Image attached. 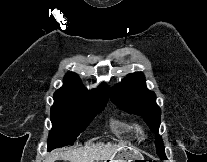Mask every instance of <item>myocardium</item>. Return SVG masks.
<instances>
[{
    "instance_id": "myocardium-1",
    "label": "myocardium",
    "mask_w": 207,
    "mask_h": 162,
    "mask_svg": "<svg viewBox=\"0 0 207 162\" xmlns=\"http://www.w3.org/2000/svg\"><path fill=\"white\" fill-rule=\"evenodd\" d=\"M139 133H142L141 129H139Z\"/></svg>"
}]
</instances>
